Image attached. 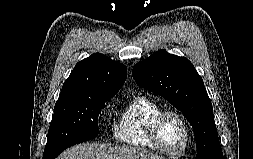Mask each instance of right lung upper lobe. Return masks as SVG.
I'll return each mask as SVG.
<instances>
[{
    "instance_id": "1",
    "label": "right lung upper lobe",
    "mask_w": 253,
    "mask_h": 159,
    "mask_svg": "<svg viewBox=\"0 0 253 159\" xmlns=\"http://www.w3.org/2000/svg\"><path fill=\"white\" fill-rule=\"evenodd\" d=\"M127 78L125 66L96 53L79 61L64 82L59 98L113 97Z\"/></svg>"
}]
</instances>
